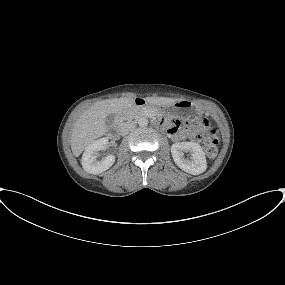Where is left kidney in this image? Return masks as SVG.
I'll use <instances>...</instances> for the list:
<instances>
[{"mask_svg":"<svg viewBox=\"0 0 285 285\" xmlns=\"http://www.w3.org/2000/svg\"><path fill=\"white\" fill-rule=\"evenodd\" d=\"M184 152H190L191 160L184 158ZM171 154L175 164L187 173L199 175L207 169L205 153L198 143H175L171 146Z\"/></svg>","mask_w":285,"mask_h":285,"instance_id":"obj_1","label":"left kidney"}]
</instances>
